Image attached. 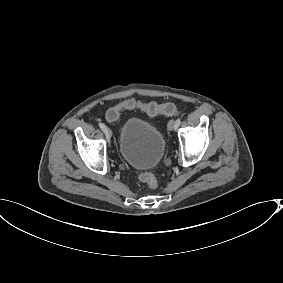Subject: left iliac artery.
I'll use <instances>...</instances> for the list:
<instances>
[{
	"label": "left iliac artery",
	"instance_id": "44dca946",
	"mask_svg": "<svg viewBox=\"0 0 283 283\" xmlns=\"http://www.w3.org/2000/svg\"><path fill=\"white\" fill-rule=\"evenodd\" d=\"M180 123H181V118H178V119L175 121V130L178 129Z\"/></svg>",
	"mask_w": 283,
	"mask_h": 283
}]
</instances>
